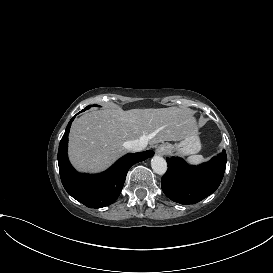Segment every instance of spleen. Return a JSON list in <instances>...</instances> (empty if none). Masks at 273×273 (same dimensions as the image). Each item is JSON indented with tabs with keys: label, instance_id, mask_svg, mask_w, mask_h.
<instances>
[{
	"label": "spleen",
	"instance_id": "3e777b00",
	"mask_svg": "<svg viewBox=\"0 0 273 273\" xmlns=\"http://www.w3.org/2000/svg\"><path fill=\"white\" fill-rule=\"evenodd\" d=\"M205 162L206 160L202 155H193L186 158V164H188L189 166L197 167L204 164Z\"/></svg>",
	"mask_w": 273,
	"mask_h": 273
}]
</instances>
